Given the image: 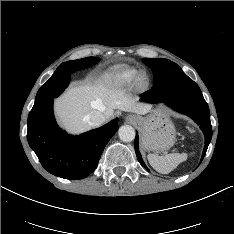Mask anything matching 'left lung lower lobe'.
Returning <instances> with one entry per match:
<instances>
[{"label": "left lung lower lobe", "mask_w": 234, "mask_h": 234, "mask_svg": "<svg viewBox=\"0 0 234 234\" xmlns=\"http://www.w3.org/2000/svg\"><path fill=\"white\" fill-rule=\"evenodd\" d=\"M141 100L151 103L165 102L176 111L191 117L200 125L205 135V147L201 158L203 160L212 138L210 112L200 88L192 79L185 76L169 81L141 94ZM134 147L140 164L147 169L139 152L137 132Z\"/></svg>", "instance_id": "1"}]
</instances>
